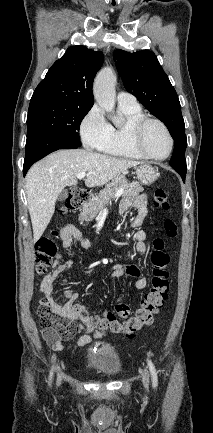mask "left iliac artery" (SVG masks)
<instances>
[{
  "label": "left iliac artery",
  "mask_w": 213,
  "mask_h": 433,
  "mask_svg": "<svg viewBox=\"0 0 213 433\" xmlns=\"http://www.w3.org/2000/svg\"><path fill=\"white\" fill-rule=\"evenodd\" d=\"M147 362H148L149 370L151 372L152 385L154 388H156L158 385V377H157V372H156L155 366L151 360L148 359Z\"/></svg>",
  "instance_id": "44dca946"
}]
</instances>
